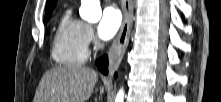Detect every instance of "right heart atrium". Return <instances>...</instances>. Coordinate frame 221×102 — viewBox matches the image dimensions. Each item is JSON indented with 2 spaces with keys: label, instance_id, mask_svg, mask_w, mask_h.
I'll return each instance as SVG.
<instances>
[{
  "label": "right heart atrium",
  "instance_id": "d8ad5b80",
  "mask_svg": "<svg viewBox=\"0 0 221 102\" xmlns=\"http://www.w3.org/2000/svg\"><path fill=\"white\" fill-rule=\"evenodd\" d=\"M84 38L87 46H92L95 43L94 33L89 25H85Z\"/></svg>",
  "mask_w": 221,
  "mask_h": 102
}]
</instances>
